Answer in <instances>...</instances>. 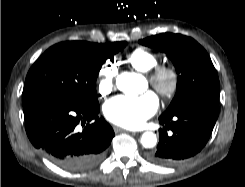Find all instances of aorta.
Listing matches in <instances>:
<instances>
[{
    "label": "aorta",
    "instance_id": "aorta-1",
    "mask_svg": "<svg viewBox=\"0 0 245 187\" xmlns=\"http://www.w3.org/2000/svg\"><path fill=\"white\" fill-rule=\"evenodd\" d=\"M140 81L139 75L124 72L117 76V88L125 94H135L137 83ZM157 143V137L153 132H145L141 137V144L145 148H153Z\"/></svg>",
    "mask_w": 245,
    "mask_h": 187
}]
</instances>
